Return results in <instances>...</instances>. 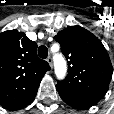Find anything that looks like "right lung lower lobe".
<instances>
[{
  "label": "right lung lower lobe",
  "mask_w": 114,
  "mask_h": 114,
  "mask_svg": "<svg viewBox=\"0 0 114 114\" xmlns=\"http://www.w3.org/2000/svg\"><path fill=\"white\" fill-rule=\"evenodd\" d=\"M34 98H35V96H33V97L29 98L28 100H25V101H23V102L15 105V106H12L10 108H7V109H9V110H18V109H21V108L25 107L26 105L30 104L34 100Z\"/></svg>",
  "instance_id": "obj_1"
}]
</instances>
